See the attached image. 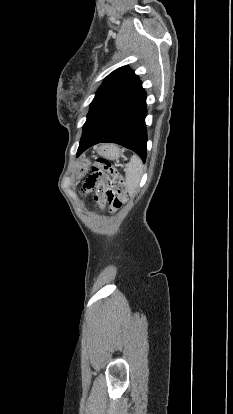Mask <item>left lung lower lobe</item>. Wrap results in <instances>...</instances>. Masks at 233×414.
<instances>
[{"instance_id":"obj_1","label":"left lung lower lobe","mask_w":233,"mask_h":414,"mask_svg":"<svg viewBox=\"0 0 233 414\" xmlns=\"http://www.w3.org/2000/svg\"><path fill=\"white\" fill-rule=\"evenodd\" d=\"M146 93L141 81L90 105L77 155L101 142H113L146 159Z\"/></svg>"}]
</instances>
